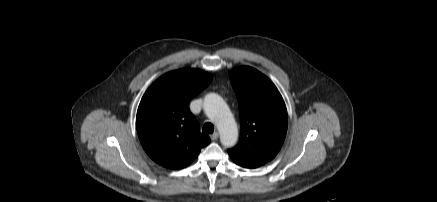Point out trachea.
Listing matches in <instances>:
<instances>
[{
  "mask_svg": "<svg viewBox=\"0 0 437 202\" xmlns=\"http://www.w3.org/2000/svg\"><path fill=\"white\" fill-rule=\"evenodd\" d=\"M202 131L206 134H211L214 132V126L210 122H206L202 128Z\"/></svg>",
  "mask_w": 437,
  "mask_h": 202,
  "instance_id": "3493384b",
  "label": "trachea"
}]
</instances>
